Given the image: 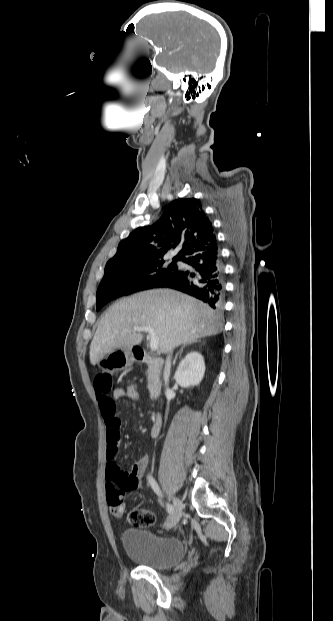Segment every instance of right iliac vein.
<instances>
[{
  "mask_svg": "<svg viewBox=\"0 0 333 621\" xmlns=\"http://www.w3.org/2000/svg\"><path fill=\"white\" fill-rule=\"evenodd\" d=\"M173 508V513L166 524L167 528L174 527L180 521V518L182 516L183 504L178 497H173Z\"/></svg>",
  "mask_w": 333,
  "mask_h": 621,
  "instance_id": "63e3f726",
  "label": "right iliac vein"
}]
</instances>
